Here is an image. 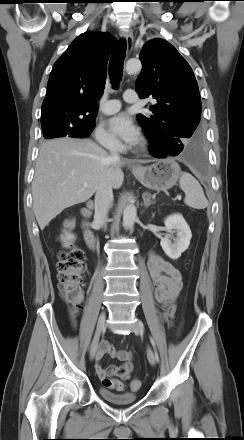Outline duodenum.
<instances>
[{"label":"duodenum","instance_id":"410a0bca","mask_svg":"<svg viewBox=\"0 0 244 440\" xmlns=\"http://www.w3.org/2000/svg\"><path fill=\"white\" fill-rule=\"evenodd\" d=\"M91 213H92V203H88L87 206L81 210V215L83 217L82 227H83L84 238L87 245L92 250H94L97 244V237L89 226V218L91 216Z\"/></svg>","mask_w":244,"mask_h":440}]
</instances>
